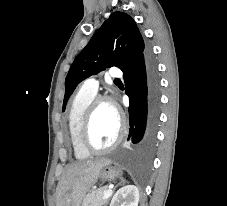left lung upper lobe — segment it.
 <instances>
[{
	"label": "left lung upper lobe",
	"mask_w": 227,
	"mask_h": 206,
	"mask_svg": "<svg viewBox=\"0 0 227 206\" xmlns=\"http://www.w3.org/2000/svg\"><path fill=\"white\" fill-rule=\"evenodd\" d=\"M143 38L128 14L114 12L75 58L65 80L63 111L76 86L108 67L128 70L146 53Z\"/></svg>",
	"instance_id": "obj_1"
}]
</instances>
